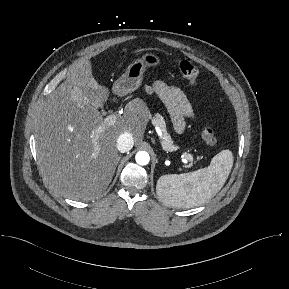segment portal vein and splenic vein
<instances>
[{"label": "portal vein and splenic vein", "instance_id": "18ae733b", "mask_svg": "<svg viewBox=\"0 0 289 289\" xmlns=\"http://www.w3.org/2000/svg\"><path fill=\"white\" fill-rule=\"evenodd\" d=\"M117 118L118 117L116 114H111V115L107 116L104 121L107 125L111 126V125H114L116 123ZM183 157H184V159H183L184 162H186L187 160L190 162L194 161V158L191 154L183 153Z\"/></svg>", "mask_w": 289, "mask_h": 289}]
</instances>
